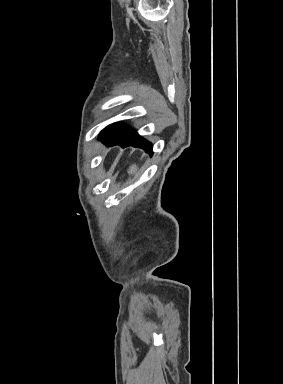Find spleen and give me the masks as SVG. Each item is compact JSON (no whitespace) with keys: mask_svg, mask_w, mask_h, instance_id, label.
<instances>
[{"mask_svg":"<svg viewBox=\"0 0 283 384\" xmlns=\"http://www.w3.org/2000/svg\"><path fill=\"white\" fill-rule=\"evenodd\" d=\"M128 174H134V176H138V168L133 164V166H130Z\"/></svg>","mask_w":283,"mask_h":384,"instance_id":"spleen-1","label":"spleen"}]
</instances>
